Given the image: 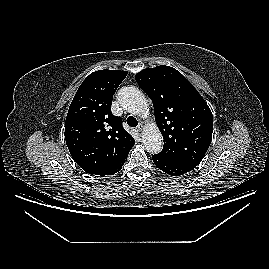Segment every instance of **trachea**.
Returning a JSON list of instances; mask_svg holds the SVG:
<instances>
[{
	"label": "trachea",
	"instance_id": "1",
	"mask_svg": "<svg viewBox=\"0 0 269 269\" xmlns=\"http://www.w3.org/2000/svg\"><path fill=\"white\" fill-rule=\"evenodd\" d=\"M127 124L130 126V127H136L138 125V121L135 117L133 116H129L127 118Z\"/></svg>",
	"mask_w": 269,
	"mask_h": 269
}]
</instances>
